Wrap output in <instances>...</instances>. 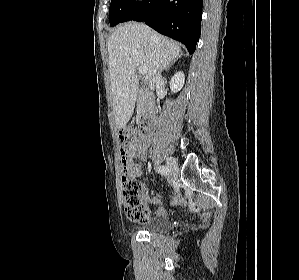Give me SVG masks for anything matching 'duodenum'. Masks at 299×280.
Returning <instances> with one entry per match:
<instances>
[{"instance_id":"duodenum-1","label":"duodenum","mask_w":299,"mask_h":280,"mask_svg":"<svg viewBox=\"0 0 299 280\" xmlns=\"http://www.w3.org/2000/svg\"><path fill=\"white\" fill-rule=\"evenodd\" d=\"M139 100L143 107V118L140 123L141 132L149 135L153 132L156 124V108L153 96L146 91L140 93Z\"/></svg>"}]
</instances>
